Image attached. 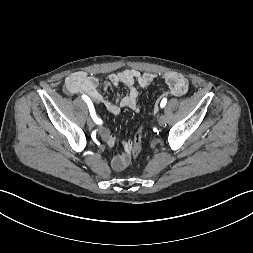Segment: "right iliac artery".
<instances>
[{"instance_id": "right-iliac-artery-1", "label": "right iliac artery", "mask_w": 253, "mask_h": 253, "mask_svg": "<svg viewBox=\"0 0 253 253\" xmlns=\"http://www.w3.org/2000/svg\"><path fill=\"white\" fill-rule=\"evenodd\" d=\"M82 98L87 103V105L89 107L90 115H91L92 119L94 120V122H96V124H101L102 121H101V119L97 118L94 106H93L92 101L90 100V98L86 95H83Z\"/></svg>"}]
</instances>
